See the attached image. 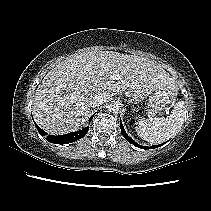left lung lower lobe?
<instances>
[{
	"label": "left lung lower lobe",
	"mask_w": 211,
	"mask_h": 211,
	"mask_svg": "<svg viewBox=\"0 0 211 211\" xmlns=\"http://www.w3.org/2000/svg\"><path fill=\"white\" fill-rule=\"evenodd\" d=\"M120 127H121V133L123 135V137L131 144H133L134 146L138 147V148H141V149H154V148H157L159 147V145H155V146H152V147H146V146H142V145H139L138 143H136L132 138H130L128 136V134L126 133L121 121H120Z\"/></svg>",
	"instance_id": "left-lung-lower-lobe-1"
}]
</instances>
